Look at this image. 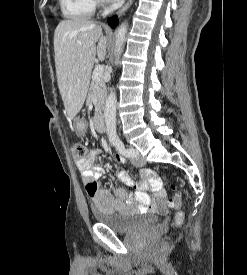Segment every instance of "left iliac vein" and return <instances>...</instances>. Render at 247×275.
<instances>
[{
	"label": "left iliac vein",
	"mask_w": 247,
	"mask_h": 275,
	"mask_svg": "<svg viewBox=\"0 0 247 275\" xmlns=\"http://www.w3.org/2000/svg\"><path fill=\"white\" fill-rule=\"evenodd\" d=\"M134 153H135V157H133L132 159V164L138 167L144 166L145 165V160L143 158H141V156L139 155V152L137 149L130 147Z\"/></svg>",
	"instance_id": "4c4485c4"
}]
</instances>
